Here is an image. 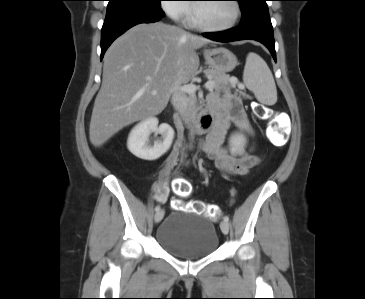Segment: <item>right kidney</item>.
Wrapping results in <instances>:
<instances>
[{"mask_svg":"<svg viewBox=\"0 0 365 299\" xmlns=\"http://www.w3.org/2000/svg\"><path fill=\"white\" fill-rule=\"evenodd\" d=\"M158 119L150 117L137 124L129 134L127 147L136 157L153 161L160 158L171 147L174 131L168 124L158 126ZM154 132L161 134V140L149 142V135Z\"/></svg>","mask_w":365,"mask_h":299,"instance_id":"obj_1","label":"right kidney"}]
</instances>
